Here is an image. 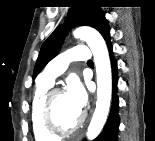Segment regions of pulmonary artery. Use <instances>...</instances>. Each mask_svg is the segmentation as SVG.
<instances>
[{
    "label": "pulmonary artery",
    "instance_id": "obj_1",
    "mask_svg": "<svg viewBox=\"0 0 155 141\" xmlns=\"http://www.w3.org/2000/svg\"><path fill=\"white\" fill-rule=\"evenodd\" d=\"M89 58L90 51L87 46H74L56 57V59L50 64L48 70L39 76L40 81L52 84L54 79L67 68L70 62H86L89 61Z\"/></svg>",
    "mask_w": 155,
    "mask_h": 141
}]
</instances>
